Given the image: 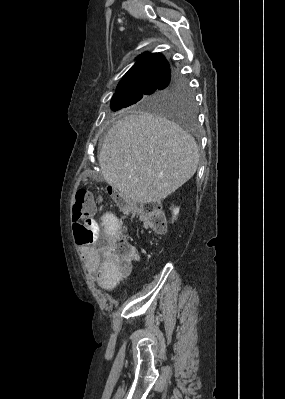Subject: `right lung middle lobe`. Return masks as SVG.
Instances as JSON below:
<instances>
[{
	"instance_id": "obj_1",
	"label": "right lung middle lobe",
	"mask_w": 285,
	"mask_h": 399,
	"mask_svg": "<svg viewBox=\"0 0 285 399\" xmlns=\"http://www.w3.org/2000/svg\"><path fill=\"white\" fill-rule=\"evenodd\" d=\"M129 106L168 115L191 130L194 127L196 117L194 96L182 77L158 88L113 95L111 100L113 111Z\"/></svg>"
}]
</instances>
